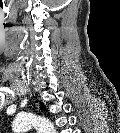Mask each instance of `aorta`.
I'll return each instance as SVG.
<instances>
[{"mask_svg":"<svg viewBox=\"0 0 120 133\" xmlns=\"http://www.w3.org/2000/svg\"><path fill=\"white\" fill-rule=\"evenodd\" d=\"M31 126H35L41 131H49L51 133L54 131L52 124L48 120L32 114L18 116L13 123V129L18 132L26 131Z\"/></svg>","mask_w":120,"mask_h":133,"instance_id":"762f6f07","label":"aorta"}]
</instances>
